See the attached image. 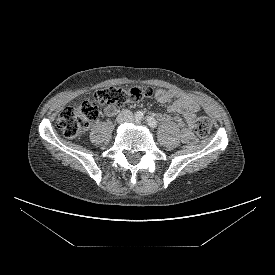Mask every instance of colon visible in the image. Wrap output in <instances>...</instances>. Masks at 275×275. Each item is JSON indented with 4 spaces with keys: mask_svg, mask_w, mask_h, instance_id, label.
I'll return each instance as SVG.
<instances>
[{
    "mask_svg": "<svg viewBox=\"0 0 275 275\" xmlns=\"http://www.w3.org/2000/svg\"><path fill=\"white\" fill-rule=\"evenodd\" d=\"M152 94L153 90L150 87H107L95 92L94 101H84L81 104L66 107L59 113L56 125L65 137L74 138L97 118L98 108L96 103L125 105L136 103ZM210 129V120L204 115H199L195 120L196 133L201 137H205Z\"/></svg>",
    "mask_w": 275,
    "mask_h": 275,
    "instance_id": "5ec220e1",
    "label": "colon"
}]
</instances>
